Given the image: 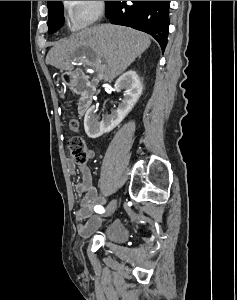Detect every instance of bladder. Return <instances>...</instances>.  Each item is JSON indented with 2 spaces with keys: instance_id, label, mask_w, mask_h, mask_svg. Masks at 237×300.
Instances as JSON below:
<instances>
[{
  "instance_id": "bladder-1",
  "label": "bladder",
  "mask_w": 237,
  "mask_h": 300,
  "mask_svg": "<svg viewBox=\"0 0 237 300\" xmlns=\"http://www.w3.org/2000/svg\"><path fill=\"white\" fill-rule=\"evenodd\" d=\"M104 240L113 243H122L128 238V229L121 220H114L102 231Z\"/></svg>"
}]
</instances>
